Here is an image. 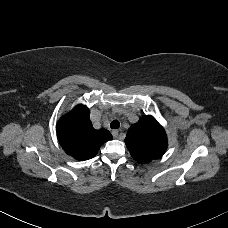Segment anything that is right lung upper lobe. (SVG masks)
Wrapping results in <instances>:
<instances>
[{"mask_svg": "<svg viewBox=\"0 0 228 228\" xmlns=\"http://www.w3.org/2000/svg\"><path fill=\"white\" fill-rule=\"evenodd\" d=\"M89 116V109L84 105H78L63 115L57 123L60 145L68 155L79 161L93 158L99 148L112 139L108 130L94 129Z\"/></svg>", "mask_w": 228, "mask_h": 228, "instance_id": "right-lung-upper-lobe-1", "label": "right lung upper lobe"}]
</instances>
